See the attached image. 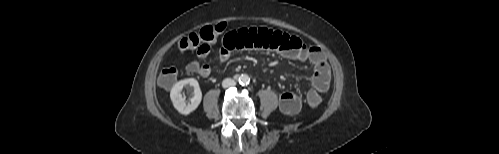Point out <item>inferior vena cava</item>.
<instances>
[{
	"instance_id": "inferior-vena-cava-1",
	"label": "inferior vena cava",
	"mask_w": 499,
	"mask_h": 154,
	"mask_svg": "<svg viewBox=\"0 0 499 154\" xmlns=\"http://www.w3.org/2000/svg\"><path fill=\"white\" fill-rule=\"evenodd\" d=\"M235 85H236L235 80H233L231 78H226L222 82L223 88H228V87L235 86Z\"/></svg>"
}]
</instances>
